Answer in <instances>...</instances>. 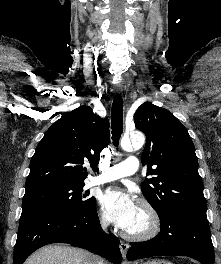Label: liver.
Segmentation results:
<instances>
[{
  "label": "liver",
  "instance_id": "liver-1",
  "mask_svg": "<svg viewBox=\"0 0 221 264\" xmlns=\"http://www.w3.org/2000/svg\"><path fill=\"white\" fill-rule=\"evenodd\" d=\"M99 261L97 256L84 250L49 245L33 253L24 264H98Z\"/></svg>",
  "mask_w": 221,
  "mask_h": 264
}]
</instances>
